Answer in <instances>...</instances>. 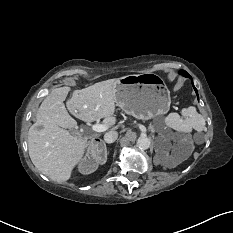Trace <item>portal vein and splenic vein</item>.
Returning <instances> with one entry per match:
<instances>
[{
    "label": "portal vein and splenic vein",
    "instance_id": "portal-vein-and-splenic-vein-1",
    "mask_svg": "<svg viewBox=\"0 0 233 233\" xmlns=\"http://www.w3.org/2000/svg\"><path fill=\"white\" fill-rule=\"evenodd\" d=\"M91 129L95 132H104L107 130V126L104 124H94L92 125Z\"/></svg>",
    "mask_w": 233,
    "mask_h": 233
}]
</instances>
